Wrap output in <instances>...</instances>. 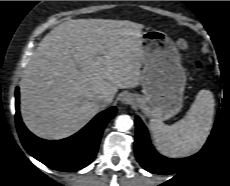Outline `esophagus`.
<instances>
[{"instance_id": "34e87169", "label": "esophagus", "mask_w": 230, "mask_h": 186, "mask_svg": "<svg viewBox=\"0 0 230 186\" xmlns=\"http://www.w3.org/2000/svg\"><path fill=\"white\" fill-rule=\"evenodd\" d=\"M121 102L125 105L132 104L134 102V99L131 95L125 94L121 98Z\"/></svg>"}]
</instances>
